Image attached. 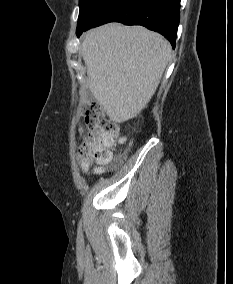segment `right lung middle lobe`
Listing matches in <instances>:
<instances>
[{"label":"right lung middle lobe","instance_id":"1","mask_svg":"<svg viewBox=\"0 0 233 284\" xmlns=\"http://www.w3.org/2000/svg\"><path fill=\"white\" fill-rule=\"evenodd\" d=\"M110 0H79L77 30L85 27Z\"/></svg>","mask_w":233,"mask_h":284}]
</instances>
